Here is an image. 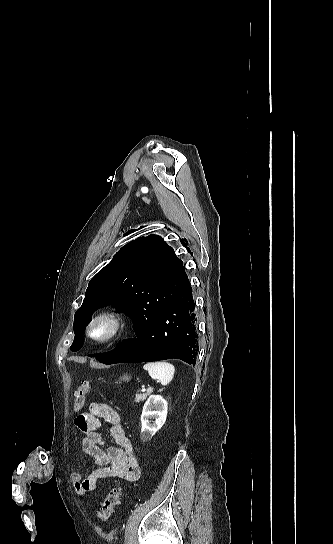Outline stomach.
<instances>
[{
    "label": "stomach",
    "mask_w": 333,
    "mask_h": 544,
    "mask_svg": "<svg viewBox=\"0 0 333 544\" xmlns=\"http://www.w3.org/2000/svg\"><path fill=\"white\" fill-rule=\"evenodd\" d=\"M129 378H130L129 376H127V375H124L122 379H123L124 381H128V380H129Z\"/></svg>",
    "instance_id": "0dacf381"
}]
</instances>
